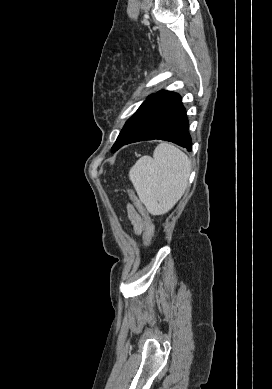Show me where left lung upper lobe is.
I'll use <instances>...</instances> for the list:
<instances>
[{
    "label": "left lung upper lobe",
    "mask_w": 272,
    "mask_h": 389,
    "mask_svg": "<svg viewBox=\"0 0 272 389\" xmlns=\"http://www.w3.org/2000/svg\"><path fill=\"white\" fill-rule=\"evenodd\" d=\"M150 98H147L146 101H144L142 103V105L139 107V109L136 111L135 114L132 115L131 118L128 119V121L125 123L123 129L121 130L116 142L114 143V145L112 146L111 148V152H115L117 149V146L121 140V138L124 136V134L128 131V129L130 128V126L134 123V121L137 119L138 115L140 114L141 110L144 108V106L146 105L147 101L149 100Z\"/></svg>",
    "instance_id": "obj_1"
}]
</instances>
